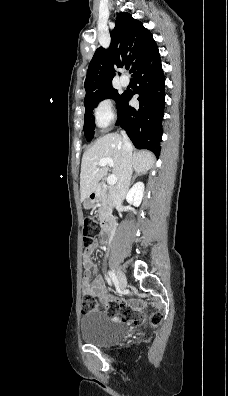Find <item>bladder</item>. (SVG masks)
Masks as SVG:
<instances>
[{
	"label": "bladder",
	"mask_w": 228,
	"mask_h": 396,
	"mask_svg": "<svg viewBox=\"0 0 228 396\" xmlns=\"http://www.w3.org/2000/svg\"><path fill=\"white\" fill-rule=\"evenodd\" d=\"M80 332L85 342L107 347L124 340L129 329L123 322L111 318L105 311L98 310L83 315Z\"/></svg>",
	"instance_id": "obj_1"
}]
</instances>
